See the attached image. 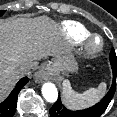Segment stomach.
Segmentation results:
<instances>
[{
  "label": "stomach",
  "instance_id": "obj_1",
  "mask_svg": "<svg viewBox=\"0 0 117 117\" xmlns=\"http://www.w3.org/2000/svg\"><path fill=\"white\" fill-rule=\"evenodd\" d=\"M50 73H73L78 69L77 62L71 52H66L54 60V62L48 65Z\"/></svg>",
  "mask_w": 117,
  "mask_h": 117
}]
</instances>
